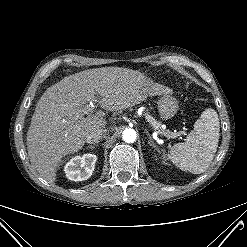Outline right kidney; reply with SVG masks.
<instances>
[{
	"label": "right kidney",
	"instance_id": "right-kidney-1",
	"mask_svg": "<svg viewBox=\"0 0 247 247\" xmlns=\"http://www.w3.org/2000/svg\"><path fill=\"white\" fill-rule=\"evenodd\" d=\"M96 161V155L91 153L73 157L64 167L67 178L72 181L87 180L94 171Z\"/></svg>",
	"mask_w": 247,
	"mask_h": 247
}]
</instances>
